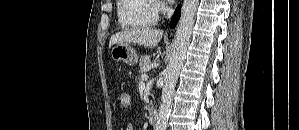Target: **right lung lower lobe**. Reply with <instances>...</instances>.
Masks as SVG:
<instances>
[{
  "label": "right lung lower lobe",
  "instance_id": "obj_1",
  "mask_svg": "<svg viewBox=\"0 0 299 130\" xmlns=\"http://www.w3.org/2000/svg\"><path fill=\"white\" fill-rule=\"evenodd\" d=\"M181 5L176 8V11L171 20V27L174 28L178 19L180 18Z\"/></svg>",
  "mask_w": 299,
  "mask_h": 130
}]
</instances>
